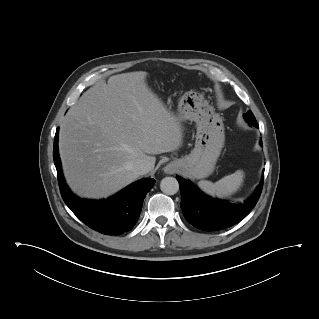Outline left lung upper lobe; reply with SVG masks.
<instances>
[{
    "mask_svg": "<svg viewBox=\"0 0 319 319\" xmlns=\"http://www.w3.org/2000/svg\"><path fill=\"white\" fill-rule=\"evenodd\" d=\"M244 118L250 124H257L256 119L250 110L244 115Z\"/></svg>",
    "mask_w": 319,
    "mask_h": 319,
    "instance_id": "5c2ea615",
    "label": "left lung upper lobe"
}]
</instances>
